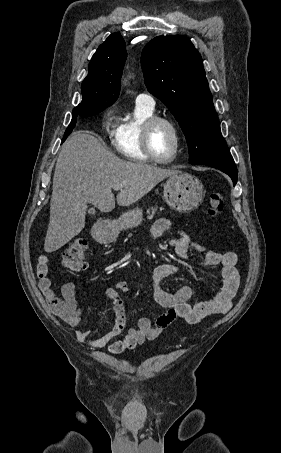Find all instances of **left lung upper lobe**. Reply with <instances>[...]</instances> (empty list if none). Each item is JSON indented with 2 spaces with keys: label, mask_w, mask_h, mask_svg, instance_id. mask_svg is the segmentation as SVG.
<instances>
[{
  "label": "left lung upper lobe",
  "mask_w": 281,
  "mask_h": 453,
  "mask_svg": "<svg viewBox=\"0 0 281 453\" xmlns=\"http://www.w3.org/2000/svg\"><path fill=\"white\" fill-rule=\"evenodd\" d=\"M142 66L149 92L167 106L185 134L189 163L233 162L192 42L180 35L155 37L143 49Z\"/></svg>",
  "instance_id": "5c2ea615"
}]
</instances>
